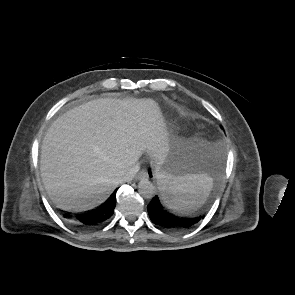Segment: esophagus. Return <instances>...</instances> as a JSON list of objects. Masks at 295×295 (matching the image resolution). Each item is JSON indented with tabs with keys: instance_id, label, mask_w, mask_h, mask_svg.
Segmentation results:
<instances>
[{
	"instance_id": "1",
	"label": "esophagus",
	"mask_w": 295,
	"mask_h": 295,
	"mask_svg": "<svg viewBox=\"0 0 295 295\" xmlns=\"http://www.w3.org/2000/svg\"><path fill=\"white\" fill-rule=\"evenodd\" d=\"M148 177H149L148 172L145 170L140 171L136 176V178L138 180L143 179V178H148Z\"/></svg>"
}]
</instances>
